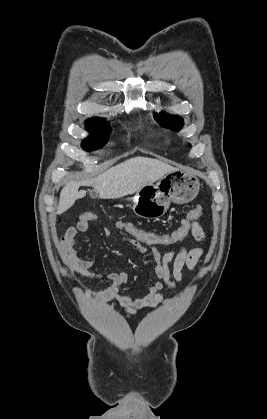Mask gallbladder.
<instances>
[{
    "label": "gallbladder",
    "mask_w": 267,
    "mask_h": 419,
    "mask_svg": "<svg viewBox=\"0 0 267 419\" xmlns=\"http://www.w3.org/2000/svg\"><path fill=\"white\" fill-rule=\"evenodd\" d=\"M90 195H91L92 198H95L96 197V192L95 191H90Z\"/></svg>",
    "instance_id": "bac80fb5"
}]
</instances>
